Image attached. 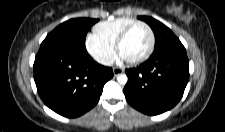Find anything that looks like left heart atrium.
Segmentation results:
<instances>
[{"label":"left heart atrium","instance_id":"1","mask_svg":"<svg viewBox=\"0 0 225 132\" xmlns=\"http://www.w3.org/2000/svg\"><path fill=\"white\" fill-rule=\"evenodd\" d=\"M120 58H121V59H124L121 55H120Z\"/></svg>","mask_w":225,"mask_h":132}]
</instances>
